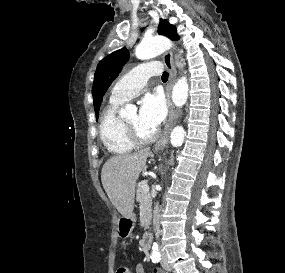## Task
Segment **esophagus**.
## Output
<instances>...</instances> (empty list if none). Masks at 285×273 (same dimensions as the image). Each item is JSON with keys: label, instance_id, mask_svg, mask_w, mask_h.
<instances>
[{"label": "esophagus", "instance_id": "esophagus-1", "mask_svg": "<svg viewBox=\"0 0 285 273\" xmlns=\"http://www.w3.org/2000/svg\"><path fill=\"white\" fill-rule=\"evenodd\" d=\"M163 62L169 71V83H168L167 89H166V95H167L168 107H169V118H168V122L166 124L165 132H164L163 136L156 143V145L154 147L155 151H159L165 147V145L168 142L170 130L175 125V122L177 119V112H176L174 105L172 104V101H171V91H172L173 85H174L175 80H176V75H177V71H176V68H175L174 63H173V54L171 51H167L163 55Z\"/></svg>", "mask_w": 285, "mask_h": 273}]
</instances>
